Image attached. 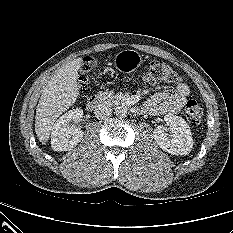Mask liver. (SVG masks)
<instances>
[{
    "instance_id": "liver-1",
    "label": "liver",
    "mask_w": 233,
    "mask_h": 233,
    "mask_svg": "<svg viewBox=\"0 0 233 233\" xmlns=\"http://www.w3.org/2000/svg\"><path fill=\"white\" fill-rule=\"evenodd\" d=\"M81 63L82 58H77L62 66L43 88L35 116V132L42 144L48 141L55 120L77 100Z\"/></svg>"
}]
</instances>
